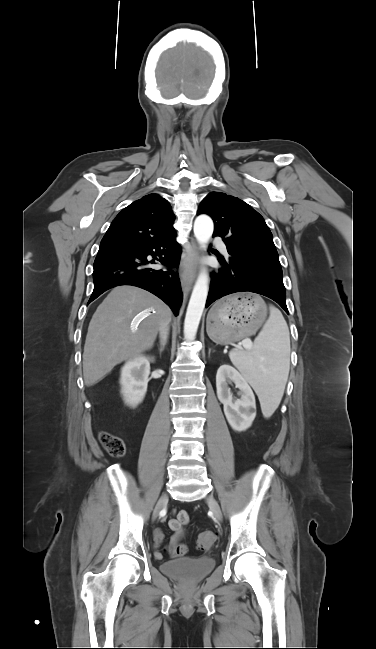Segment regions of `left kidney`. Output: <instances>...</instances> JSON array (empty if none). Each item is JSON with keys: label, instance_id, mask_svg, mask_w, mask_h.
<instances>
[{"label": "left kidney", "instance_id": "obj_1", "mask_svg": "<svg viewBox=\"0 0 376 649\" xmlns=\"http://www.w3.org/2000/svg\"><path fill=\"white\" fill-rule=\"evenodd\" d=\"M232 382L239 389L240 399H235L228 387ZM216 389L230 426L239 432L249 428L256 417V403L254 393L246 379L235 368L222 365L217 371Z\"/></svg>", "mask_w": 376, "mask_h": 649}]
</instances>
